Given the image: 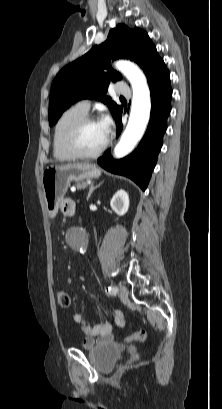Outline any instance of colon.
Masks as SVG:
<instances>
[{
  "label": "colon",
  "instance_id": "obj_1",
  "mask_svg": "<svg viewBox=\"0 0 222 409\" xmlns=\"http://www.w3.org/2000/svg\"><path fill=\"white\" fill-rule=\"evenodd\" d=\"M57 301L58 304L63 307L67 308L70 306V296L66 291H58L57 292ZM147 338V333L144 330H139L137 332L132 333L127 340L128 341H135V342H143Z\"/></svg>",
  "mask_w": 222,
  "mask_h": 409
}]
</instances>
